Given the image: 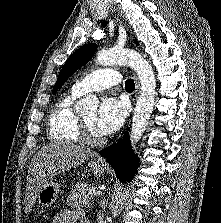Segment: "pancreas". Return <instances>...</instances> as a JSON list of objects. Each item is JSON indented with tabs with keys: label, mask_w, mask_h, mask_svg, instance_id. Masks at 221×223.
<instances>
[{
	"label": "pancreas",
	"mask_w": 221,
	"mask_h": 223,
	"mask_svg": "<svg viewBox=\"0 0 221 223\" xmlns=\"http://www.w3.org/2000/svg\"><path fill=\"white\" fill-rule=\"evenodd\" d=\"M93 190H95V188L85 187L83 183H78L67 198V206L72 208L90 207L91 204L89 201L92 199L93 195L90 194V191Z\"/></svg>",
	"instance_id": "pancreas-1"
}]
</instances>
